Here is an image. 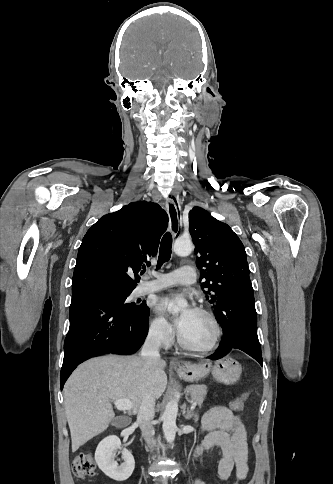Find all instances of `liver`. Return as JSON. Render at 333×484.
<instances>
[{
	"mask_svg": "<svg viewBox=\"0 0 333 484\" xmlns=\"http://www.w3.org/2000/svg\"><path fill=\"white\" fill-rule=\"evenodd\" d=\"M165 367L163 359L138 356H104L81 364L63 390L72 451L108 428L115 417L111 401L129 399L135 414L146 392L159 399L167 386Z\"/></svg>",
	"mask_w": 333,
	"mask_h": 484,
	"instance_id": "liver-1",
	"label": "liver"
}]
</instances>
